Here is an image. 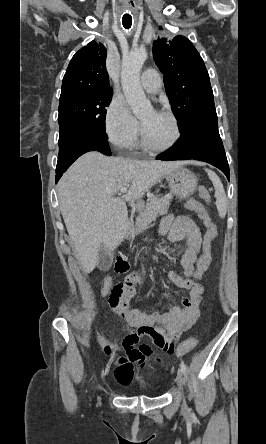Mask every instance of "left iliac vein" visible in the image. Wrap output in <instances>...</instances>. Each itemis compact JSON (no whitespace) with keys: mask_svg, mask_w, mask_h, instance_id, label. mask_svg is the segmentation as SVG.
Wrapping results in <instances>:
<instances>
[{"mask_svg":"<svg viewBox=\"0 0 266 444\" xmlns=\"http://www.w3.org/2000/svg\"><path fill=\"white\" fill-rule=\"evenodd\" d=\"M176 383L178 386V389L181 393V395H183V386H184V375L183 372L181 370L178 371L177 376H176ZM183 407L186 406V403L183 399V403H182Z\"/></svg>","mask_w":266,"mask_h":444,"instance_id":"obj_1","label":"left iliac vein"}]
</instances>
